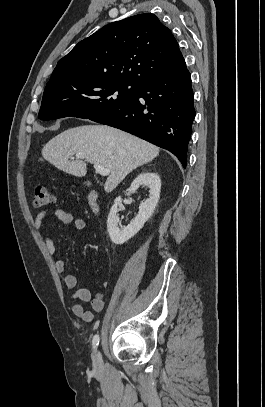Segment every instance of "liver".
<instances>
[{"label":"liver","instance_id":"obj_1","mask_svg":"<svg viewBox=\"0 0 265 407\" xmlns=\"http://www.w3.org/2000/svg\"><path fill=\"white\" fill-rule=\"evenodd\" d=\"M159 148L134 135L107 125H83L70 128L52 138L42 149V156L59 170L83 177L87 173L82 160L110 170L104 190L113 191L133 170L152 161Z\"/></svg>","mask_w":265,"mask_h":407}]
</instances>
